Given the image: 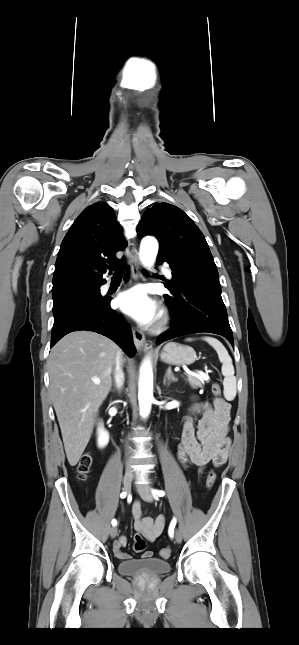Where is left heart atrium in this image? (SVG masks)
Here are the masks:
<instances>
[{
	"label": "left heart atrium",
	"instance_id": "obj_1",
	"mask_svg": "<svg viewBox=\"0 0 299 645\" xmlns=\"http://www.w3.org/2000/svg\"><path fill=\"white\" fill-rule=\"evenodd\" d=\"M116 304L122 312L143 324L150 323L155 316V304L142 287H133L120 293Z\"/></svg>",
	"mask_w": 299,
	"mask_h": 645
}]
</instances>
